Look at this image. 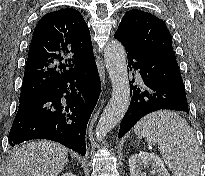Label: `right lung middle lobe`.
<instances>
[{"instance_id": "obj_1", "label": "right lung middle lobe", "mask_w": 205, "mask_h": 176, "mask_svg": "<svg viewBox=\"0 0 205 176\" xmlns=\"http://www.w3.org/2000/svg\"><path fill=\"white\" fill-rule=\"evenodd\" d=\"M20 101V104L22 103V102H24L25 100H19Z\"/></svg>"}]
</instances>
